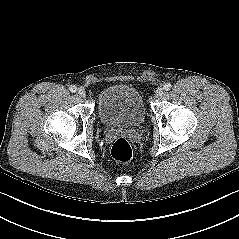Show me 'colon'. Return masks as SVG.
I'll list each match as a JSON object with an SVG mask.
<instances>
[{
    "label": "colon",
    "instance_id": "colon-1",
    "mask_svg": "<svg viewBox=\"0 0 239 239\" xmlns=\"http://www.w3.org/2000/svg\"><path fill=\"white\" fill-rule=\"evenodd\" d=\"M111 154L115 160L125 163L132 158L133 150L128 140L120 137L112 144Z\"/></svg>",
    "mask_w": 239,
    "mask_h": 239
}]
</instances>
